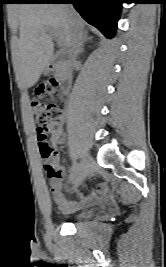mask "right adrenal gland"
Instances as JSON below:
<instances>
[{
	"label": "right adrenal gland",
	"mask_w": 166,
	"mask_h": 267,
	"mask_svg": "<svg viewBox=\"0 0 166 267\" xmlns=\"http://www.w3.org/2000/svg\"><path fill=\"white\" fill-rule=\"evenodd\" d=\"M92 39V37L91 36H88V31L87 30H84L83 31V44H82V51H83V47H84V44L87 42V41H89V40H91Z\"/></svg>",
	"instance_id": "right-adrenal-gland-1"
}]
</instances>
